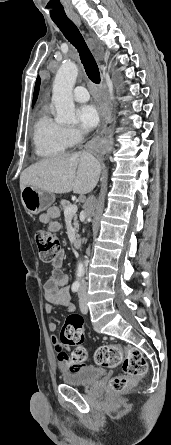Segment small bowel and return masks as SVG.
<instances>
[{
  "label": "small bowel",
  "mask_w": 171,
  "mask_h": 445,
  "mask_svg": "<svg viewBox=\"0 0 171 445\" xmlns=\"http://www.w3.org/2000/svg\"><path fill=\"white\" fill-rule=\"evenodd\" d=\"M47 227L50 231L57 232L60 229V225L56 221H47ZM65 259V254L60 250L52 262L53 270L51 276L46 280L44 284L43 294L46 300L45 312L51 313L54 305L64 308L67 312L74 311V305L71 302V297L68 289V275L61 270L62 264ZM48 330L55 332L57 330V324L54 321L48 322ZM50 341L57 353V358L62 368L74 371L82 368V362L73 361L71 356L67 353V346L60 343L58 336L52 335Z\"/></svg>",
  "instance_id": "c3829d8e"
}]
</instances>
